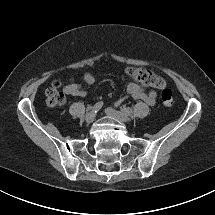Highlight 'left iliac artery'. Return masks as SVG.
Returning <instances> with one entry per match:
<instances>
[{
	"instance_id": "left-iliac-artery-1",
	"label": "left iliac artery",
	"mask_w": 215,
	"mask_h": 215,
	"mask_svg": "<svg viewBox=\"0 0 215 215\" xmlns=\"http://www.w3.org/2000/svg\"><path fill=\"white\" fill-rule=\"evenodd\" d=\"M121 110L127 115H131L133 113V109L130 107H123Z\"/></svg>"
}]
</instances>
